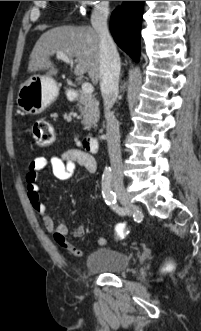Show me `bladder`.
Here are the masks:
<instances>
[{"label": "bladder", "mask_w": 201, "mask_h": 331, "mask_svg": "<svg viewBox=\"0 0 201 331\" xmlns=\"http://www.w3.org/2000/svg\"><path fill=\"white\" fill-rule=\"evenodd\" d=\"M130 263V255L119 249L98 247L87 256L84 266L87 270L100 273L121 274Z\"/></svg>", "instance_id": "31cf9c89"}]
</instances>
